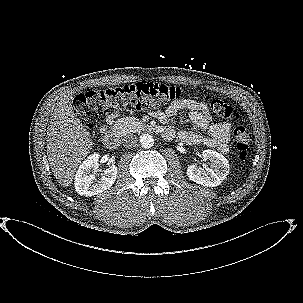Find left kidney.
Listing matches in <instances>:
<instances>
[{
  "label": "left kidney",
  "instance_id": "left-kidney-1",
  "mask_svg": "<svg viewBox=\"0 0 303 303\" xmlns=\"http://www.w3.org/2000/svg\"><path fill=\"white\" fill-rule=\"evenodd\" d=\"M202 158L209 160L210 167L201 169L196 165H189L187 175L190 180L203 186H218L229 174L228 160L220 153L214 150H204Z\"/></svg>",
  "mask_w": 303,
  "mask_h": 303
}]
</instances>
